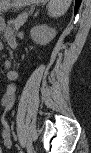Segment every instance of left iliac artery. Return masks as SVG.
Here are the masks:
<instances>
[{
	"label": "left iliac artery",
	"instance_id": "1",
	"mask_svg": "<svg viewBox=\"0 0 91 153\" xmlns=\"http://www.w3.org/2000/svg\"><path fill=\"white\" fill-rule=\"evenodd\" d=\"M30 152V151H29ZM18 153H25V151H18Z\"/></svg>",
	"mask_w": 91,
	"mask_h": 153
}]
</instances>
